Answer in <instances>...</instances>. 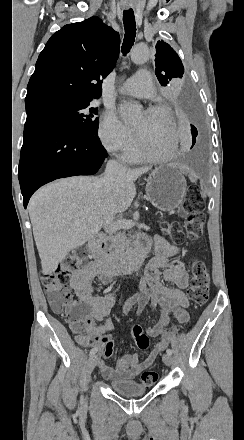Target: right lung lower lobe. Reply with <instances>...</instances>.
Returning a JSON list of instances; mask_svg holds the SVG:
<instances>
[{
    "instance_id": "right-lung-lower-lobe-1",
    "label": "right lung lower lobe",
    "mask_w": 244,
    "mask_h": 440,
    "mask_svg": "<svg viewBox=\"0 0 244 440\" xmlns=\"http://www.w3.org/2000/svg\"><path fill=\"white\" fill-rule=\"evenodd\" d=\"M106 157L97 134L85 135L48 120H26L18 172L24 207L42 185L93 175Z\"/></svg>"
}]
</instances>
